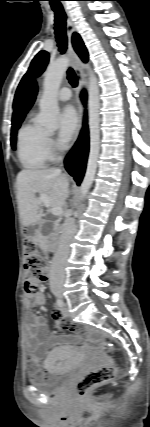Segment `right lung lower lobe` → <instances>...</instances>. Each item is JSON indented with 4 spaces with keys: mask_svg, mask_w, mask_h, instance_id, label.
Instances as JSON below:
<instances>
[{
    "mask_svg": "<svg viewBox=\"0 0 150 427\" xmlns=\"http://www.w3.org/2000/svg\"><path fill=\"white\" fill-rule=\"evenodd\" d=\"M82 100H86L85 91L82 92ZM89 149V138H88V128L86 124V119L84 121V126L77 140L75 146L71 152L67 155L65 160V166L67 171L74 177V180L79 185L82 181V178L85 173L86 161L88 156Z\"/></svg>",
    "mask_w": 150,
    "mask_h": 427,
    "instance_id": "1",
    "label": "right lung lower lobe"
}]
</instances>
